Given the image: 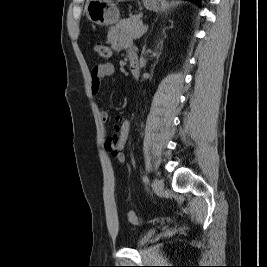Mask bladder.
<instances>
[{
    "instance_id": "bladder-1",
    "label": "bladder",
    "mask_w": 267,
    "mask_h": 267,
    "mask_svg": "<svg viewBox=\"0 0 267 267\" xmlns=\"http://www.w3.org/2000/svg\"><path fill=\"white\" fill-rule=\"evenodd\" d=\"M154 234H155V230L154 229H151V230L147 231L144 235H142L137 240L136 247L137 248L144 247L150 241V239L153 237Z\"/></svg>"
}]
</instances>
